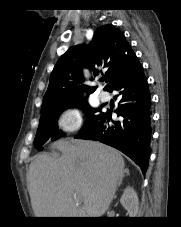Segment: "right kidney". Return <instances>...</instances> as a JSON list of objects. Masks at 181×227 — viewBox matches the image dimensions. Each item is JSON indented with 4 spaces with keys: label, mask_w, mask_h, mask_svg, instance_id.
Returning <instances> with one entry per match:
<instances>
[{
    "label": "right kidney",
    "mask_w": 181,
    "mask_h": 227,
    "mask_svg": "<svg viewBox=\"0 0 181 227\" xmlns=\"http://www.w3.org/2000/svg\"><path fill=\"white\" fill-rule=\"evenodd\" d=\"M120 203L127 210L130 217H136L139 209V200L136 191L131 186L125 188Z\"/></svg>",
    "instance_id": "1"
}]
</instances>
